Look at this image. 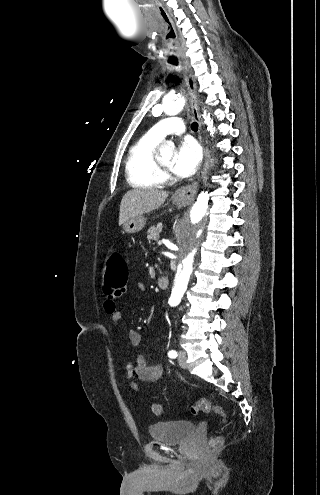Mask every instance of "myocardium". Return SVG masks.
<instances>
[{
    "mask_svg": "<svg viewBox=\"0 0 320 495\" xmlns=\"http://www.w3.org/2000/svg\"><path fill=\"white\" fill-rule=\"evenodd\" d=\"M155 160H156V164H157V167H158L160 173H166V172H168L169 168L162 163V161L160 160L159 155H156Z\"/></svg>",
    "mask_w": 320,
    "mask_h": 495,
    "instance_id": "f54148a6",
    "label": "myocardium"
}]
</instances>
